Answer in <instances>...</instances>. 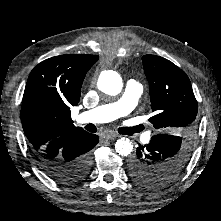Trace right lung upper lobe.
Instances as JSON below:
<instances>
[{
  "label": "right lung upper lobe",
  "instance_id": "obj_1",
  "mask_svg": "<svg viewBox=\"0 0 221 221\" xmlns=\"http://www.w3.org/2000/svg\"><path fill=\"white\" fill-rule=\"evenodd\" d=\"M98 56L66 54L46 59L30 73L25 87L21 122L33 151L60 137L86 131L75 127L70 106H76L87 71Z\"/></svg>",
  "mask_w": 221,
  "mask_h": 221
}]
</instances>
